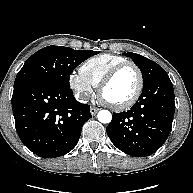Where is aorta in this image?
<instances>
[{
	"label": "aorta",
	"mask_w": 193,
	"mask_h": 193,
	"mask_svg": "<svg viewBox=\"0 0 193 193\" xmlns=\"http://www.w3.org/2000/svg\"><path fill=\"white\" fill-rule=\"evenodd\" d=\"M97 117L98 120L104 124L110 123L112 120V114L108 110L99 111Z\"/></svg>",
	"instance_id": "762f6f07"
}]
</instances>
